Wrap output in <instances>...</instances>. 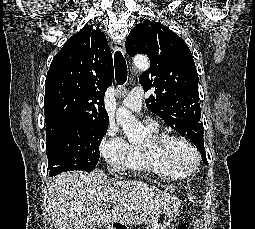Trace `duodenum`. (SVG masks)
Returning a JSON list of instances; mask_svg holds the SVG:
<instances>
[{
	"label": "duodenum",
	"instance_id": "1",
	"mask_svg": "<svg viewBox=\"0 0 255 229\" xmlns=\"http://www.w3.org/2000/svg\"><path fill=\"white\" fill-rule=\"evenodd\" d=\"M108 229H127V226L125 224L115 222L108 226Z\"/></svg>",
	"mask_w": 255,
	"mask_h": 229
}]
</instances>
